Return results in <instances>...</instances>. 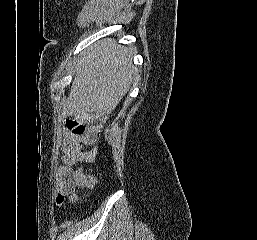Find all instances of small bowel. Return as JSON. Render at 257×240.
I'll use <instances>...</instances> for the list:
<instances>
[{
	"label": "small bowel",
	"mask_w": 257,
	"mask_h": 240,
	"mask_svg": "<svg viewBox=\"0 0 257 240\" xmlns=\"http://www.w3.org/2000/svg\"><path fill=\"white\" fill-rule=\"evenodd\" d=\"M96 139V132L92 127L82 134L65 132L61 147L63 165L58 167L55 179L59 195L74 193L76 185L84 181L85 173L82 163L93 160L99 152L98 148L85 150L84 146L94 144Z\"/></svg>",
	"instance_id": "1"
}]
</instances>
